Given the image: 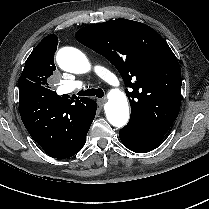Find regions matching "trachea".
Segmentation results:
<instances>
[{"label": "trachea", "instance_id": "3493384b", "mask_svg": "<svg viewBox=\"0 0 209 209\" xmlns=\"http://www.w3.org/2000/svg\"><path fill=\"white\" fill-rule=\"evenodd\" d=\"M78 95L81 97L84 96H96L98 98H102L104 96V91L100 88H92V89H88V90H80L78 92Z\"/></svg>", "mask_w": 209, "mask_h": 209}]
</instances>
